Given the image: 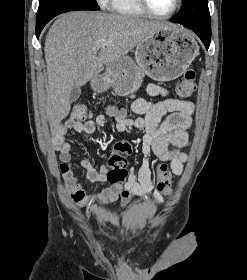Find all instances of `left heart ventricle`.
Segmentation results:
<instances>
[{
  "mask_svg": "<svg viewBox=\"0 0 247 280\" xmlns=\"http://www.w3.org/2000/svg\"><path fill=\"white\" fill-rule=\"evenodd\" d=\"M147 2L149 6L159 14L170 12L175 5V0H147Z\"/></svg>",
  "mask_w": 247,
  "mask_h": 280,
  "instance_id": "left-heart-ventricle-1",
  "label": "left heart ventricle"
}]
</instances>
